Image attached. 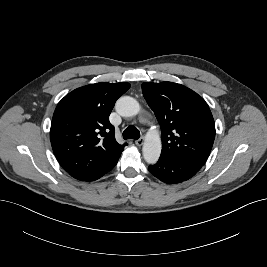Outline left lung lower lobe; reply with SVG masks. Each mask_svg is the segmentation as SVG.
I'll use <instances>...</instances> for the list:
<instances>
[{"instance_id": "1", "label": "left lung lower lobe", "mask_w": 267, "mask_h": 267, "mask_svg": "<svg viewBox=\"0 0 267 267\" xmlns=\"http://www.w3.org/2000/svg\"><path fill=\"white\" fill-rule=\"evenodd\" d=\"M202 166L186 160L160 157L156 164L148 167V170L159 180L173 184L190 179Z\"/></svg>"}]
</instances>
